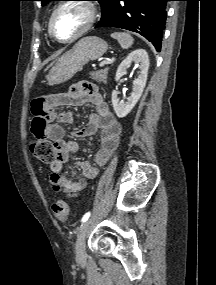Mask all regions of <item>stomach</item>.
Segmentation results:
<instances>
[{"mask_svg":"<svg viewBox=\"0 0 216 285\" xmlns=\"http://www.w3.org/2000/svg\"><path fill=\"white\" fill-rule=\"evenodd\" d=\"M108 49L106 41L96 36L79 40L69 51L64 53L50 70L47 81L49 85H59L70 80L82 70L89 61L104 55Z\"/></svg>","mask_w":216,"mask_h":285,"instance_id":"0dacf381","label":"stomach"}]
</instances>
